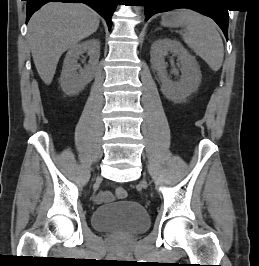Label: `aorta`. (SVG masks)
<instances>
[{
  "mask_svg": "<svg viewBox=\"0 0 259 266\" xmlns=\"http://www.w3.org/2000/svg\"><path fill=\"white\" fill-rule=\"evenodd\" d=\"M134 8H135V11H136V12H140V11H141V7H138V6H137V7H134Z\"/></svg>",
  "mask_w": 259,
  "mask_h": 266,
  "instance_id": "762f6f07",
  "label": "aorta"
}]
</instances>
